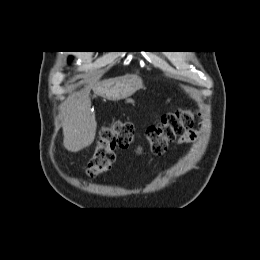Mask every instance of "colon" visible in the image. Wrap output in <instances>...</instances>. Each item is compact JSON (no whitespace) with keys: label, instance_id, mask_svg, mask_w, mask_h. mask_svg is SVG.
Wrapping results in <instances>:
<instances>
[{"label":"colon","instance_id":"colon-1","mask_svg":"<svg viewBox=\"0 0 260 260\" xmlns=\"http://www.w3.org/2000/svg\"><path fill=\"white\" fill-rule=\"evenodd\" d=\"M195 112L187 109L169 112L162 116L160 122L149 126L145 133L151 151L162 155L168 146L190 130L195 121ZM140 135L131 122L115 120L103 126L99 131L96 148L88 165L87 173L96 177L107 172L114 161V150L134 145ZM140 151V147L137 148Z\"/></svg>","mask_w":260,"mask_h":260}]
</instances>
